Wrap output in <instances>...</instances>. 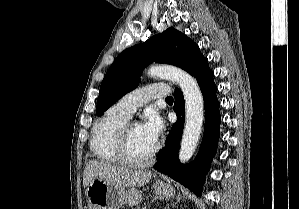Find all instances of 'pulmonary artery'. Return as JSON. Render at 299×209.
Segmentation results:
<instances>
[{
    "mask_svg": "<svg viewBox=\"0 0 299 209\" xmlns=\"http://www.w3.org/2000/svg\"><path fill=\"white\" fill-rule=\"evenodd\" d=\"M170 89L164 83H152L147 86L137 88L116 103L117 109L128 117H131L137 108L158 97H167Z\"/></svg>",
    "mask_w": 299,
    "mask_h": 209,
    "instance_id": "e3ab8cb5",
    "label": "pulmonary artery"
}]
</instances>
